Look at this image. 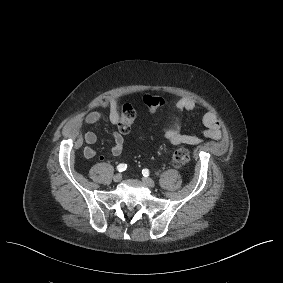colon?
<instances>
[{
  "mask_svg": "<svg viewBox=\"0 0 283 283\" xmlns=\"http://www.w3.org/2000/svg\"><path fill=\"white\" fill-rule=\"evenodd\" d=\"M143 101L151 113H154L164 104V99L158 95H150V94L145 95ZM135 119H136V112L133 106L130 104H125L121 111L118 122V129L120 133L121 134L129 133ZM189 160H190V154L188 149L183 145H179L175 149L172 156L173 165L176 167H183L189 162Z\"/></svg>",
  "mask_w": 283,
  "mask_h": 283,
  "instance_id": "obj_1",
  "label": "colon"
}]
</instances>
